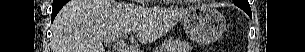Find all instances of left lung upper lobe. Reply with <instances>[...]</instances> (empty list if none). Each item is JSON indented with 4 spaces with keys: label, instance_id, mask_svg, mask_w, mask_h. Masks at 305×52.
Wrapping results in <instances>:
<instances>
[{
    "label": "left lung upper lobe",
    "instance_id": "obj_1",
    "mask_svg": "<svg viewBox=\"0 0 305 52\" xmlns=\"http://www.w3.org/2000/svg\"><path fill=\"white\" fill-rule=\"evenodd\" d=\"M234 3L251 16V9L248 0H234Z\"/></svg>",
    "mask_w": 305,
    "mask_h": 52
}]
</instances>
